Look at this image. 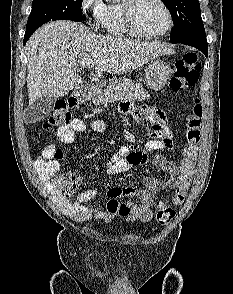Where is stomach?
Segmentation results:
<instances>
[{
    "label": "stomach",
    "instance_id": "obj_1",
    "mask_svg": "<svg viewBox=\"0 0 233 294\" xmlns=\"http://www.w3.org/2000/svg\"><path fill=\"white\" fill-rule=\"evenodd\" d=\"M171 67L161 60H151L145 72L146 84L153 90L162 89L171 78Z\"/></svg>",
    "mask_w": 233,
    "mask_h": 294
}]
</instances>
